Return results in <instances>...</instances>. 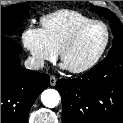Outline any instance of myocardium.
<instances>
[{
  "label": "myocardium",
  "instance_id": "f54148a6",
  "mask_svg": "<svg viewBox=\"0 0 123 123\" xmlns=\"http://www.w3.org/2000/svg\"><path fill=\"white\" fill-rule=\"evenodd\" d=\"M94 25H100L104 28L105 32H106V38H105V42L102 46V48L100 49V51L98 52V54L86 65L81 66V67H77V68H72V67H67L65 65V57L66 54L68 53V51L70 49L73 48V46L76 44V42L78 41L79 37L82 35V33L84 31H86L88 28H90L91 26ZM110 40H111V32L109 27L102 21L99 20H93L91 22H88L82 26H80L71 36L70 38L65 42V44L62 46L59 54H60V59L62 61V64L66 66V69L68 71H70L71 73L74 74H81V73H85L89 70H91L93 67H95L99 61L102 59V57L104 56L109 44H110Z\"/></svg>",
  "mask_w": 123,
  "mask_h": 123
}]
</instances>
